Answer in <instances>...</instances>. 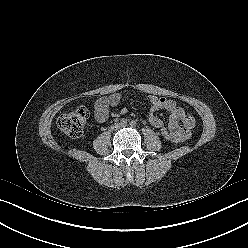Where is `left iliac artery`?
<instances>
[{
  "instance_id": "obj_1",
  "label": "left iliac artery",
  "mask_w": 248,
  "mask_h": 248,
  "mask_svg": "<svg viewBox=\"0 0 248 248\" xmlns=\"http://www.w3.org/2000/svg\"><path fill=\"white\" fill-rule=\"evenodd\" d=\"M130 125H131V126H134V125H136V122H135V121H131V122H130Z\"/></svg>"
}]
</instances>
